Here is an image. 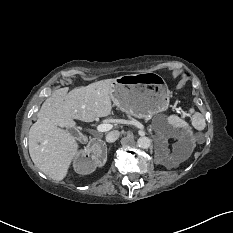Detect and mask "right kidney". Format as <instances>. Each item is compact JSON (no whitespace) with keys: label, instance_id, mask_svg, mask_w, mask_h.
<instances>
[{"label":"right kidney","instance_id":"ca27d5eb","mask_svg":"<svg viewBox=\"0 0 233 233\" xmlns=\"http://www.w3.org/2000/svg\"><path fill=\"white\" fill-rule=\"evenodd\" d=\"M106 161L107 152L90 148L84 151L83 156L74 161L73 167L76 173L86 175L94 172L97 167L104 166Z\"/></svg>","mask_w":233,"mask_h":233}]
</instances>
